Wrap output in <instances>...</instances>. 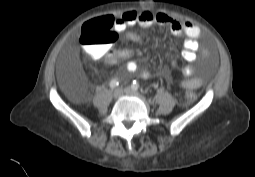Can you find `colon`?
I'll return each mask as SVG.
<instances>
[{
	"label": "colon",
	"mask_w": 255,
	"mask_h": 177,
	"mask_svg": "<svg viewBox=\"0 0 255 177\" xmlns=\"http://www.w3.org/2000/svg\"><path fill=\"white\" fill-rule=\"evenodd\" d=\"M82 39L85 45L100 48H107L115 41V35L111 31V25L105 16L87 21L82 27ZM186 99L193 101L196 94L190 91Z\"/></svg>",
	"instance_id": "colon-1"
}]
</instances>
